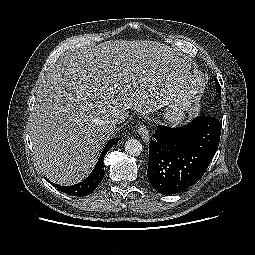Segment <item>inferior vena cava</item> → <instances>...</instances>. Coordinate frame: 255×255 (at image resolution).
Masks as SVG:
<instances>
[{
  "label": "inferior vena cava",
  "instance_id": "602c4592",
  "mask_svg": "<svg viewBox=\"0 0 255 255\" xmlns=\"http://www.w3.org/2000/svg\"><path fill=\"white\" fill-rule=\"evenodd\" d=\"M119 121V117H117V118H114V119H112L111 120V125H110V129H111V131L113 132V131H115V125H116V123Z\"/></svg>",
  "mask_w": 255,
  "mask_h": 255
}]
</instances>
